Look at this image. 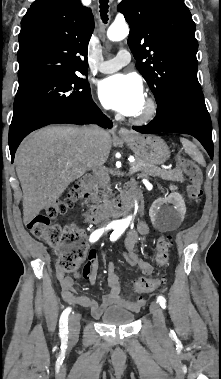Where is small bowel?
Returning a JSON list of instances; mask_svg holds the SVG:
<instances>
[{"instance_id": "1", "label": "small bowel", "mask_w": 221, "mask_h": 379, "mask_svg": "<svg viewBox=\"0 0 221 379\" xmlns=\"http://www.w3.org/2000/svg\"><path fill=\"white\" fill-rule=\"evenodd\" d=\"M149 227L144 221L138 222L135 228L131 229L124 241V256L126 260L133 266H137L144 275H151L153 267L148 261V254L139 251L137 248L139 235H148ZM100 254L96 250L89 251L88 263L83 264L80 269L81 274L86 278L87 282L95 285L97 279V270L99 266ZM63 299L72 304L90 309L94 317H100L104 310L111 305L117 304L131 310H138L143 304L142 300L130 301L121 297V284L119 276L115 270L114 263L110 261L106 271V283L109 291L103 296L102 301L98 303L93 298L85 295H78L74 289V279L65 274V272L57 270L56 273ZM75 274V277H79Z\"/></svg>"}]
</instances>
